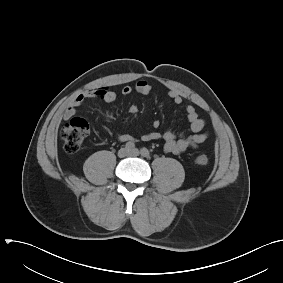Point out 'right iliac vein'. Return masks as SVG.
Listing matches in <instances>:
<instances>
[{
    "mask_svg": "<svg viewBox=\"0 0 283 283\" xmlns=\"http://www.w3.org/2000/svg\"><path fill=\"white\" fill-rule=\"evenodd\" d=\"M128 154H129V151L126 148H121L118 151V156L121 158L128 156Z\"/></svg>",
    "mask_w": 283,
    "mask_h": 283,
    "instance_id": "obj_1",
    "label": "right iliac vein"
}]
</instances>
